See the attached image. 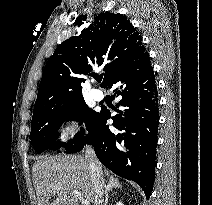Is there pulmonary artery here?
Wrapping results in <instances>:
<instances>
[{"label":"pulmonary artery","instance_id":"1","mask_svg":"<svg viewBox=\"0 0 212 205\" xmlns=\"http://www.w3.org/2000/svg\"><path fill=\"white\" fill-rule=\"evenodd\" d=\"M92 96L95 100L101 101L104 98V93L99 89H94L92 91Z\"/></svg>","mask_w":212,"mask_h":205}]
</instances>
